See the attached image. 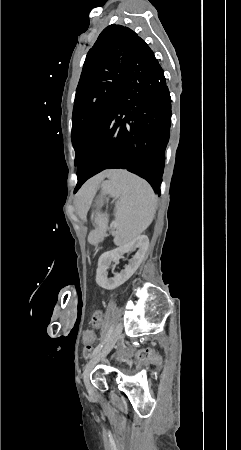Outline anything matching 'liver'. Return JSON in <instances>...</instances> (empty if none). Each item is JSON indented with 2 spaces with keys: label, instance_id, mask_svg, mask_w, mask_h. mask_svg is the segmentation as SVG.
Instances as JSON below:
<instances>
[{
  "label": "liver",
  "instance_id": "1",
  "mask_svg": "<svg viewBox=\"0 0 241 450\" xmlns=\"http://www.w3.org/2000/svg\"><path fill=\"white\" fill-rule=\"evenodd\" d=\"M110 170H106V172H101V174H98V176H94V178H91V180H88L84 186H82L78 198H85V194H89V192H96L98 186H100L102 180L104 178H107Z\"/></svg>",
  "mask_w": 241,
  "mask_h": 450
}]
</instances>
